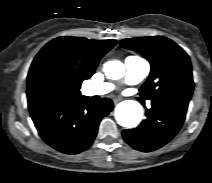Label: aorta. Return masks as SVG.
I'll return each instance as SVG.
<instances>
[{
  "instance_id": "1",
  "label": "aorta",
  "mask_w": 212,
  "mask_h": 183,
  "mask_svg": "<svg viewBox=\"0 0 212 183\" xmlns=\"http://www.w3.org/2000/svg\"><path fill=\"white\" fill-rule=\"evenodd\" d=\"M104 73L109 79L117 80L123 77L125 66L122 62L114 60L104 64ZM143 116V110L139 103L126 100L118 104L115 109L117 122L126 128H132L139 124Z\"/></svg>"
}]
</instances>
